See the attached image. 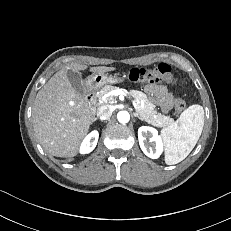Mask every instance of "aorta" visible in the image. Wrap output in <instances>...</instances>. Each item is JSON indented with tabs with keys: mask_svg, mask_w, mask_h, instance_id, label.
Segmentation results:
<instances>
[{
	"mask_svg": "<svg viewBox=\"0 0 231 231\" xmlns=\"http://www.w3.org/2000/svg\"><path fill=\"white\" fill-rule=\"evenodd\" d=\"M117 119L120 123H128L130 120V114L127 111H120L117 114Z\"/></svg>",
	"mask_w": 231,
	"mask_h": 231,
	"instance_id": "1",
	"label": "aorta"
}]
</instances>
